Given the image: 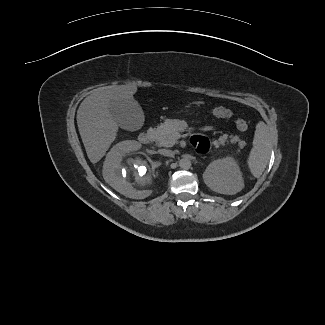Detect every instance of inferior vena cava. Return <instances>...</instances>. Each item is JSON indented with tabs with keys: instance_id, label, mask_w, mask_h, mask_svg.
<instances>
[{
	"instance_id": "1",
	"label": "inferior vena cava",
	"mask_w": 325,
	"mask_h": 325,
	"mask_svg": "<svg viewBox=\"0 0 325 325\" xmlns=\"http://www.w3.org/2000/svg\"><path fill=\"white\" fill-rule=\"evenodd\" d=\"M159 152H160L161 155H164V156H169V157L174 156L173 151L168 150V149H160Z\"/></svg>"
}]
</instances>
